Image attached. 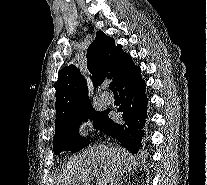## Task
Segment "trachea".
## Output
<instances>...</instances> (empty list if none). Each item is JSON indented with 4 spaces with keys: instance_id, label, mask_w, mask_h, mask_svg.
Instances as JSON below:
<instances>
[{
    "instance_id": "1",
    "label": "trachea",
    "mask_w": 207,
    "mask_h": 185,
    "mask_svg": "<svg viewBox=\"0 0 207 185\" xmlns=\"http://www.w3.org/2000/svg\"><path fill=\"white\" fill-rule=\"evenodd\" d=\"M110 89L112 90L113 93H116L117 94V90L115 88V83L114 82H111L110 83Z\"/></svg>"
}]
</instances>
